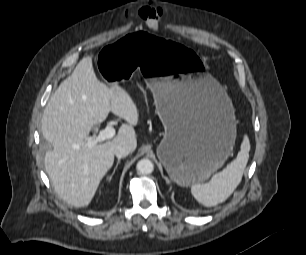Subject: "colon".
Wrapping results in <instances>:
<instances>
[{
	"instance_id": "colon-1",
	"label": "colon",
	"mask_w": 306,
	"mask_h": 255,
	"mask_svg": "<svg viewBox=\"0 0 306 255\" xmlns=\"http://www.w3.org/2000/svg\"><path fill=\"white\" fill-rule=\"evenodd\" d=\"M161 15L162 10L157 6H145L140 11L141 18L152 29H157Z\"/></svg>"
}]
</instances>
